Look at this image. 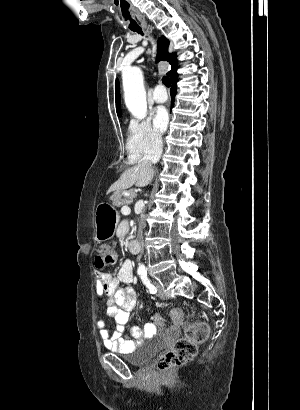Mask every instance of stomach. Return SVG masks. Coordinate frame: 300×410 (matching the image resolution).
Wrapping results in <instances>:
<instances>
[{"label":"stomach","instance_id":"1","mask_svg":"<svg viewBox=\"0 0 300 410\" xmlns=\"http://www.w3.org/2000/svg\"><path fill=\"white\" fill-rule=\"evenodd\" d=\"M119 194L120 192L117 191L111 196V200L113 201L112 205L101 204L96 209L95 236L98 241H106L115 234L120 217L114 206H116L115 204Z\"/></svg>","mask_w":300,"mask_h":410}]
</instances>
